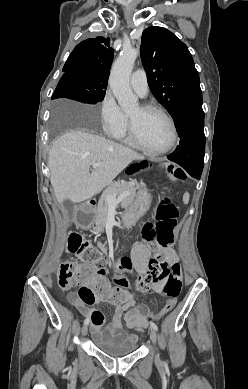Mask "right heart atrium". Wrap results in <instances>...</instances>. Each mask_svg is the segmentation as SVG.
Instances as JSON below:
<instances>
[{
    "instance_id": "right-heart-atrium-1",
    "label": "right heart atrium",
    "mask_w": 248,
    "mask_h": 389,
    "mask_svg": "<svg viewBox=\"0 0 248 389\" xmlns=\"http://www.w3.org/2000/svg\"><path fill=\"white\" fill-rule=\"evenodd\" d=\"M99 112L103 131L107 135L115 137L123 129L127 117L110 91L104 94L100 102Z\"/></svg>"
}]
</instances>
